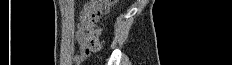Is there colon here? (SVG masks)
Instances as JSON below:
<instances>
[{
	"label": "colon",
	"mask_w": 232,
	"mask_h": 65,
	"mask_svg": "<svg viewBox=\"0 0 232 65\" xmlns=\"http://www.w3.org/2000/svg\"><path fill=\"white\" fill-rule=\"evenodd\" d=\"M115 0H90L81 13V23L87 33L88 53L97 52L101 48V27L98 22L106 15Z\"/></svg>",
	"instance_id": "obj_1"
}]
</instances>
